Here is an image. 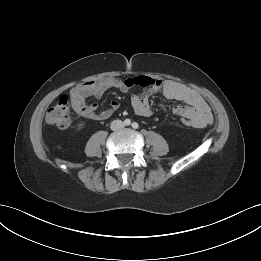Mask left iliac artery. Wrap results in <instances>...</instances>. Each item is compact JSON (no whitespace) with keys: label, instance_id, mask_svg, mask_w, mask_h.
<instances>
[{"label":"left iliac artery","instance_id":"left-iliac-artery-1","mask_svg":"<svg viewBox=\"0 0 261 261\" xmlns=\"http://www.w3.org/2000/svg\"><path fill=\"white\" fill-rule=\"evenodd\" d=\"M132 127H133L134 129H137V128L139 127V125H138V123L133 122V123H132Z\"/></svg>","mask_w":261,"mask_h":261}]
</instances>
